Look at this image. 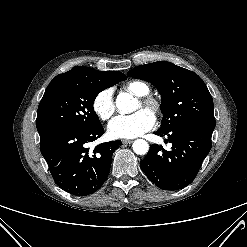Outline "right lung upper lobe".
<instances>
[{
    "instance_id": "obj_1",
    "label": "right lung upper lobe",
    "mask_w": 247,
    "mask_h": 247,
    "mask_svg": "<svg viewBox=\"0 0 247 247\" xmlns=\"http://www.w3.org/2000/svg\"><path fill=\"white\" fill-rule=\"evenodd\" d=\"M66 75H75V76H84L92 79L106 80L113 83H119L122 80L127 79L126 75L117 71H98L89 67L76 66L73 67L70 71L59 74L56 77L66 76Z\"/></svg>"
}]
</instances>
